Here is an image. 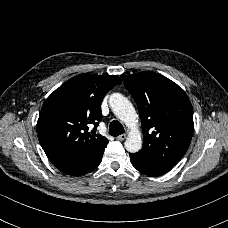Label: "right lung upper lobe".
Returning a JSON list of instances; mask_svg holds the SVG:
<instances>
[{
	"instance_id": "right-lung-upper-lobe-1",
	"label": "right lung upper lobe",
	"mask_w": 228,
	"mask_h": 228,
	"mask_svg": "<svg viewBox=\"0 0 228 228\" xmlns=\"http://www.w3.org/2000/svg\"><path fill=\"white\" fill-rule=\"evenodd\" d=\"M118 76L77 75L56 89L44 102L37 122L39 142L55 166L68 165L89 156L108 142L88 132L102 119L104 95L120 84Z\"/></svg>"
}]
</instances>
